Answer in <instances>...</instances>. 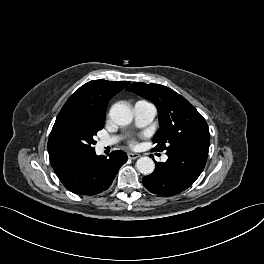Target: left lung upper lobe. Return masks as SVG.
Segmentation results:
<instances>
[{
    "instance_id": "1",
    "label": "left lung upper lobe",
    "mask_w": 264,
    "mask_h": 264,
    "mask_svg": "<svg viewBox=\"0 0 264 264\" xmlns=\"http://www.w3.org/2000/svg\"><path fill=\"white\" fill-rule=\"evenodd\" d=\"M127 90L150 100L158 110L160 129L154 151L187 147L208 155L210 134L202 115L181 95L159 84L132 83Z\"/></svg>"
}]
</instances>
